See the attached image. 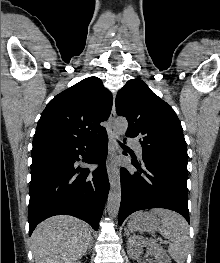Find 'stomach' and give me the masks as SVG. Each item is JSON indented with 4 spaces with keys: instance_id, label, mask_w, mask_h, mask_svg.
Segmentation results:
<instances>
[{
    "instance_id": "obj_1",
    "label": "stomach",
    "mask_w": 220,
    "mask_h": 263,
    "mask_svg": "<svg viewBox=\"0 0 220 263\" xmlns=\"http://www.w3.org/2000/svg\"><path fill=\"white\" fill-rule=\"evenodd\" d=\"M161 221L152 212H137L128 222L131 231L153 232L160 227Z\"/></svg>"
}]
</instances>
